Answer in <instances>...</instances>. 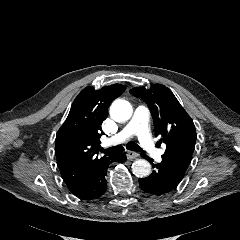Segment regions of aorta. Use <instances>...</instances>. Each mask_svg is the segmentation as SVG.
<instances>
[{
    "instance_id": "1",
    "label": "aorta",
    "mask_w": 240,
    "mask_h": 240,
    "mask_svg": "<svg viewBox=\"0 0 240 240\" xmlns=\"http://www.w3.org/2000/svg\"><path fill=\"white\" fill-rule=\"evenodd\" d=\"M133 114L131 104L126 100H116L110 107V115L117 122L128 121ZM132 172L137 177H147L151 173V165L145 159H137L132 164Z\"/></svg>"
}]
</instances>
